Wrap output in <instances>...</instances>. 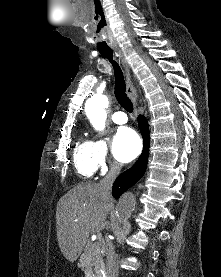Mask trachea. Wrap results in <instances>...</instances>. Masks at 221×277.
<instances>
[{
	"label": "trachea",
	"mask_w": 221,
	"mask_h": 277,
	"mask_svg": "<svg viewBox=\"0 0 221 277\" xmlns=\"http://www.w3.org/2000/svg\"><path fill=\"white\" fill-rule=\"evenodd\" d=\"M109 62L112 64L115 74V97L118 103L123 107L127 112L133 111V104L126 94V83L124 80L123 72L118 65V63L113 59V52L110 51H101L100 52Z\"/></svg>",
	"instance_id": "trachea-1"
}]
</instances>
